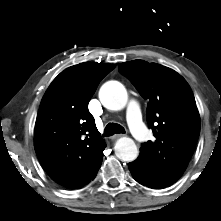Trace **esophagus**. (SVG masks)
I'll use <instances>...</instances> for the list:
<instances>
[{"label": "esophagus", "instance_id": "34e87169", "mask_svg": "<svg viewBox=\"0 0 221 221\" xmlns=\"http://www.w3.org/2000/svg\"><path fill=\"white\" fill-rule=\"evenodd\" d=\"M121 137H125V135H124V134H118V135H115V136H114L115 139L121 138Z\"/></svg>", "mask_w": 221, "mask_h": 221}]
</instances>
